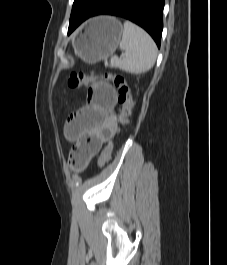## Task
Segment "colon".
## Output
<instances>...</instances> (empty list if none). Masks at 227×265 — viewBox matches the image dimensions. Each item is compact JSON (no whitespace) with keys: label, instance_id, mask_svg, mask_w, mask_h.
<instances>
[{"label":"colon","instance_id":"5ec220e1","mask_svg":"<svg viewBox=\"0 0 227 265\" xmlns=\"http://www.w3.org/2000/svg\"><path fill=\"white\" fill-rule=\"evenodd\" d=\"M101 80L113 83L117 90L119 111L114 118L118 124V132H120L122 127L128 123L133 107L131 89L124 76L118 74L91 76L82 72H72L67 79V86L71 90H79L84 87L92 86ZM113 149L114 142L110 141L99 156V167H103L109 162ZM69 162L71 167L74 169L83 168L86 165V156L77 147H73L69 156Z\"/></svg>","mask_w":227,"mask_h":265}]
</instances>
